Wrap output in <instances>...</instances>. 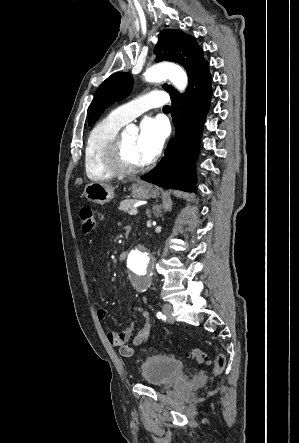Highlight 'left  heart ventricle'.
Returning <instances> with one entry per match:
<instances>
[{
	"mask_svg": "<svg viewBox=\"0 0 299 443\" xmlns=\"http://www.w3.org/2000/svg\"><path fill=\"white\" fill-rule=\"evenodd\" d=\"M122 139H123L124 159L126 163L131 166L142 165L143 162L141 160L137 148L138 134L137 133L125 134L122 136Z\"/></svg>",
	"mask_w": 299,
	"mask_h": 443,
	"instance_id": "obj_1",
	"label": "left heart ventricle"
}]
</instances>
